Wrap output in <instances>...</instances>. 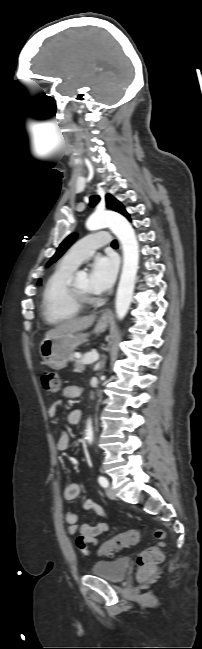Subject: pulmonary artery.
Here are the masks:
<instances>
[{
	"mask_svg": "<svg viewBox=\"0 0 202 649\" xmlns=\"http://www.w3.org/2000/svg\"><path fill=\"white\" fill-rule=\"evenodd\" d=\"M111 243L108 232L100 231L85 236L77 241L67 251L62 259V263L77 268L78 265L91 256L96 249L107 246Z\"/></svg>",
	"mask_w": 202,
	"mask_h": 649,
	"instance_id": "pulmonary-artery-1",
	"label": "pulmonary artery"
}]
</instances>
